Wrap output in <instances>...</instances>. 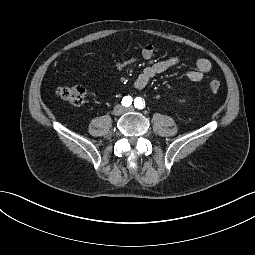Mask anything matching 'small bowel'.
Returning <instances> with one entry per match:
<instances>
[{
	"instance_id": "1",
	"label": "small bowel",
	"mask_w": 255,
	"mask_h": 255,
	"mask_svg": "<svg viewBox=\"0 0 255 255\" xmlns=\"http://www.w3.org/2000/svg\"><path fill=\"white\" fill-rule=\"evenodd\" d=\"M142 57L146 60H150L154 57L155 48L152 44H146L142 51ZM134 59L127 60L125 62H118L116 64L118 69H124L125 67L131 65ZM181 58L179 56H171L167 59L156 61L146 67L137 75L134 80V87L137 90L144 89L150 81L157 75L166 72L167 70L179 65ZM195 69L187 72L186 77L192 82L201 81L206 73H208L212 68V63L207 58H198L195 60Z\"/></svg>"
}]
</instances>
